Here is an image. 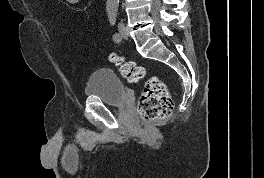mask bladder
I'll use <instances>...</instances> for the list:
<instances>
[{"mask_svg": "<svg viewBox=\"0 0 264 178\" xmlns=\"http://www.w3.org/2000/svg\"><path fill=\"white\" fill-rule=\"evenodd\" d=\"M84 93L88 99H96L110 106H121L126 101V88L121 79L110 69L101 68L88 77Z\"/></svg>", "mask_w": 264, "mask_h": 178, "instance_id": "1", "label": "bladder"}]
</instances>
